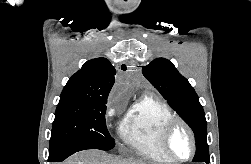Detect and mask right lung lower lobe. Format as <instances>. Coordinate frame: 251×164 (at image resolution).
<instances>
[{"label":"right lung lower lobe","mask_w":251,"mask_h":164,"mask_svg":"<svg viewBox=\"0 0 251 164\" xmlns=\"http://www.w3.org/2000/svg\"><path fill=\"white\" fill-rule=\"evenodd\" d=\"M89 149V147L82 144H63L54 149L49 150V162H62L75 152Z\"/></svg>","instance_id":"obj_1"}]
</instances>
